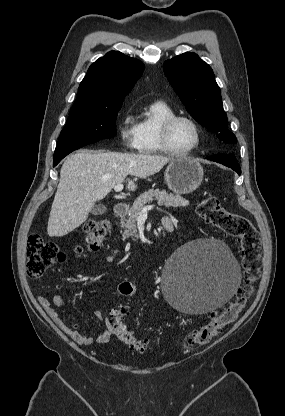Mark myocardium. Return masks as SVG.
<instances>
[{
	"label": "myocardium",
	"instance_id": "f54148a6",
	"mask_svg": "<svg viewBox=\"0 0 285 416\" xmlns=\"http://www.w3.org/2000/svg\"><path fill=\"white\" fill-rule=\"evenodd\" d=\"M180 119L186 120L188 121L195 129V133H196V143L193 147H191L188 150L185 151H178L175 148H173L171 142H170V131L172 126L174 125V123ZM159 135H160V142H161V146L164 150V152H166L167 154H170L172 156H176V157H185V156H189L191 154H194L201 146V142H202V133H201V128L198 124V122L192 118L189 115L186 114H173L169 117H167L160 126V130H159Z\"/></svg>",
	"mask_w": 285,
	"mask_h": 416
}]
</instances>
